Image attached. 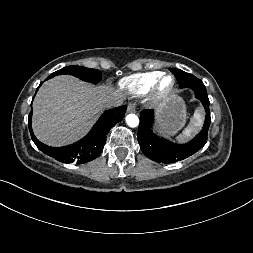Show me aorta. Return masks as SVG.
<instances>
[{
	"label": "aorta",
	"mask_w": 253,
	"mask_h": 253,
	"mask_svg": "<svg viewBox=\"0 0 253 253\" xmlns=\"http://www.w3.org/2000/svg\"><path fill=\"white\" fill-rule=\"evenodd\" d=\"M126 123L129 127H137L139 125V118L135 114H128L126 116Z\"/></svg>",
	"instance_id": "1"
}]
</instances>
